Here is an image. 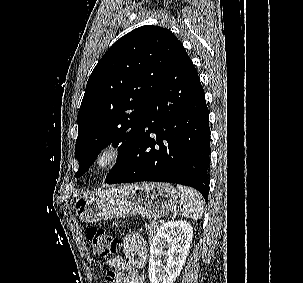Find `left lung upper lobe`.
I'll list each match as a JSON object with an SVG mask.
<instances>
[{
	"label": "left lung upper lobe",
	"mask_w": 303,
	"mask_h": 283,
	"mask_svg": "<svg viewBox=\"0 0 303 283\" xmlns=\"http://www.w3.org/2000/svg\"><path fill=\"white\" fill-rule=\"evenodd\" d=\"M183 49L170 30L147 25L124 35L105 53L88 79L78 112L77 178L111 143L121 145L105 182L120 171L135 146L152 97Z\"/></svg>",
	"instance_id": "5c2ea615"
}]
</instances>
